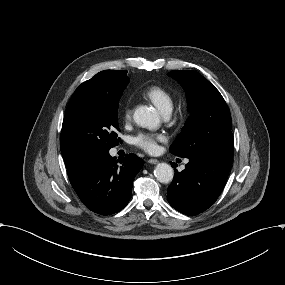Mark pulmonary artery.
Wrapping results in <instances>:
<instances>
[{
    "label": "pulmonary artery",
    "instance_id": "pulmonary-artery-1",
    "mask_svg": "<svg viewBox=\"0 0 285 285\" xmlns=\"http://www.w3.org/2000/svg\"><path fill=\"white\" fill-rule=\"evenodd\" d=\"M164 117H167L169 115V110L168 111H164ZM188 162V160H185V164Z\"/></svg>",
    "mask_w": 285,
    "mask_h": 285
}]
</instances>
